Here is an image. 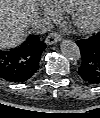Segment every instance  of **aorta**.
<instances>
[{
	"instance_id": "aorta-1",
	"label": "aorta",
	"mask_w": 100,
	"mask_h": 118,
	"mask_svg": "<svg viewBox=\"0 0 100 118\" xmlns=\"http://www.w3.org/2000/svg\"><path fill=\"white\" fill-rule=\"evenodd\" d=\"M62 54L71 61L80 59V49L77 44L71 40H63L60 44Z\"/></svg>"
}]
</instances>
